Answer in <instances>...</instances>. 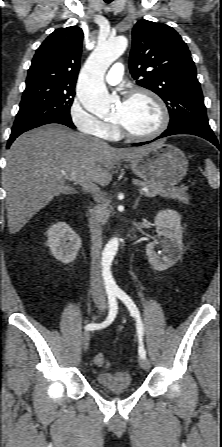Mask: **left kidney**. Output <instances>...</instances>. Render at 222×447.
I'll return each mask as SVG.
<instances>
[{
  "label": "left kidney",
  "mask_w": 222,
  "mask_h": 447,
  "mask_svg": "<svg viewBox=\"0 0 222 447\" xmlns=\"http://www.w3.org/2000/svg\"><path fill=\"white\" fill-rule=\"evenodd\" d=\"M155 226L158 237H163L159 243L157 240L146 247L148 261L157 271H165L172 267L181 257L183 244V230L181 217L178 212L170 209L161 210L155 217ZM161 244L162 254L155 251V246Z\"/></svg>",
  "instance_id": "5707ae66"
}]
</instances>
